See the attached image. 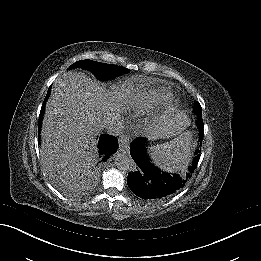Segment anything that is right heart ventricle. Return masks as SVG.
Here are the masks:
<instances>
[{"label":"right heart ventricle","instance_id":"right-heart-ventricle-1","mask_svg":"<svg viewBox=\"0 0 261 261\" xmlns=\"http://www.w3.org/2000/svg\"><path fill=\"white\" fill-rule=\"evenodd\" d=\"M172 94L169 92H152L144 94L136 106L128 107L125 114L128 119L136 121L140 116L158 111L166 106Z\"/></svg>","mask_w":261,"mask_h":261}]
</instances>
